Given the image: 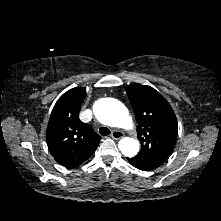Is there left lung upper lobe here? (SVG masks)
I'll return each instance as SVG.
<instances>
[{
	"mask_svg": "<svg viewBox=\"0 0 221 221\" xmlns=\"http://www.w3.org/2000/svg\"><path fill=\"white\" fill-rule=\"evenodd\" d=\"M136 121L141 150L135 156L162 165L173 152L178 124L167 100L154 88L141 84L126 86Z\"/></svg>",
	"mask_w": 221,
	"mask_h": 221,
	"instance_id": "obj_1",
	"label": "left lung upper lobe"
}]
</instances>
